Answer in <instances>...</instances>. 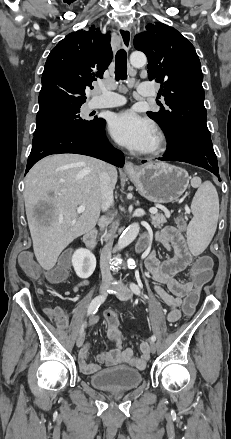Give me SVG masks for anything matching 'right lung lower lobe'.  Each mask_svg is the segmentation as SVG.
Returning a JSON list of instances; mask_svg holds the SVG:
<instances>
[{"instance_id": "right-lung-lower-lobe-1", "label": "right lung lower lobe", "mask_w": 231, "mask_h": 439, "mask_svg": "<svg viewBox=\"0 0 231 439\" xmlns=\"http://www.w3.org/2000/svg\"><path fill=\"white\" fill-rule=\"evenodd\" d=\"M104 128L105 120L100 119L90 130L57 129L34 136L26 172L43 157L59 153L88 155L122 167L124 155L110 145Z\"/></svg>"}]
</instances>
